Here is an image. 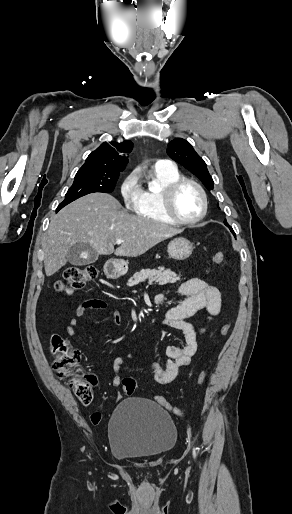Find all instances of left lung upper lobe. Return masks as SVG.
<instances>
[{"label": "left lung upper lobe", "mask_w": 292, "mask_h": 514, "mask_svg": "<svg viewBox=\"0 0 292 514\" xmlns=\"http://www.w3.org/2000/svg\"><path fill=\"white\" fill-rule=\"evenodd\" d=\"M167 154L171 159L183 165L191 173L197 176L208 190H213L214 181L208 172L204 160L196 153L192 145L185 139L176 138L168 144ZM224 224L234 236L232 227L224 220Z\"/></svg>", "instance_id": "obj_1"}]
</instances>
